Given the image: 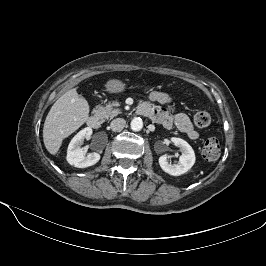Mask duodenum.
Masks as SVG:
<instances>
[{"instance_id":"obj_1","label":"duodenum","mask_w":266,"mask_h":266,"mask_svg":"<svg viewBox=\"0 0 266 266\" xmlns=\"http://www.w3.org/2000/svg\"><path fill=\"white\" fill-rule=\"evenodd\" d=\"M101 123H102V118L101 115L98 113L91 115L87 120L88 126L94 129L99 128L101 126Z\"/></svg>"}]
</instances>
